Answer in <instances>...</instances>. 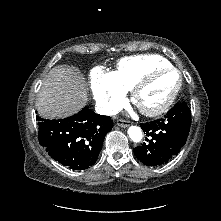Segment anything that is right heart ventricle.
<instances>
[{"instance_id": "obj_1", "label": "right heart ventricle", "mask_w": 221, "mask_h": 221, "mask_svg": "<svg viewBox=\"0 0 221 221\" xmlns=\"http://www.w3.org/2000/svg\"><path fill=\"white\" fill-rule=\"evenodd\" d=\"M163 66H171V64L159 55L131 56L121 59L113 74L120 85L126 91H130L146 73Z\"/></svg>"}]
</instances>
